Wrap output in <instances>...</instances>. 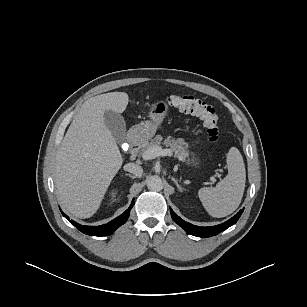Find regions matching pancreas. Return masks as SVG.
Masks as SVG:
<instances>
[{
  "label": "pancreas",
  "mask_w": 307,
  "mask_h": 307,
  "mask_svg": "<svg viewBox=\"0 0 307 307\" xmlns=\"http://www.w3.org/2000/svg\"><path fill=\"white\" fill-rule=\"evenodd\" d=\"M163 140V137L161 135H156L153 139L150 141H146L142 144L141 154L143 155L146 150L149 148L160 146L161 142ZM163 145L166 147H170V150L174 154L175 157H177L180 161H186V158L189 155V152L187 150L188 145L182 138L174 139L172 137H167Z\"/></svg>",
  "instance_id": "cf45deb5"
}]
</instances>
